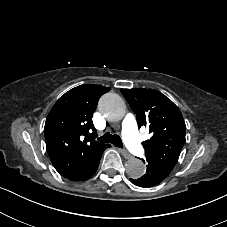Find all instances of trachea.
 <instances>
[{"label": "trachea", "instance_id": "1", "mask_svg": "<svg viewBox=\"0 0 227 227\" xmlns=\"http://www.w3.org/2000/svg\"><path fill=\"white\" fill-rule=\"evenodd\" d=\"M99 141L104 143L112 142L114 146L122 148V140L116 134H110L109 132L105 133L102 137L98 138Z\"/></svg>", "mask_w": 227, "mask_h": 227}]
</instances>
